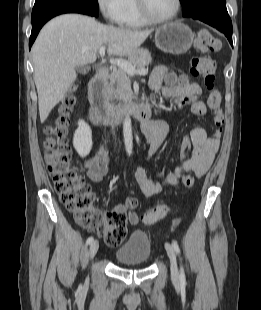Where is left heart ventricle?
Instances as JSON below:
<instances>
[{"instance_id": "obj_1", "label": "left heart ventricle", "mask_w": 261, "mask_h": 310, "mask_svg": "<svg viewBox=\"0 0 261 310\" xmlns=\"http://www.w3.org/2000/svg\"><path fill=\"white\" fill-rule=\"evenodd\" d=\"M149 12L156 18L171 15L176 8V0H146Z\"/></svg>"}]
</instances>
